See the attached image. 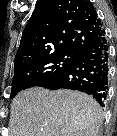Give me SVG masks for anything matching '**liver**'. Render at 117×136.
Here are the masks:
<instances>
[{
    "mask_svg": "<svg viewBox=\"0 0 117 136\" xmlns=\"http://www.w3.org/2000/svg\"><path fill=\"white\" fill-rule=\"evenodd\" d=\"M102 108L78 91L33 87L11 104V136H98Z\"/></svg>",
    "mask_w": 117,
    "mask_h": 136,
    "instance_id": "obj_1",
    "label": "liver"
}]
</instances>
